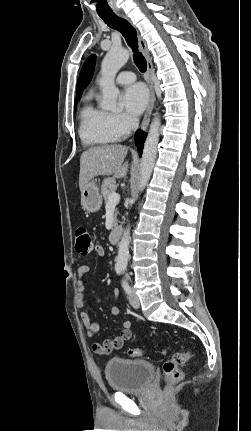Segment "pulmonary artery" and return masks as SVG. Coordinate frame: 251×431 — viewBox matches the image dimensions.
Returning <instances> with one entry per match:
<instances>
[{
    "mask_svg": "<svg viewBox=\"0 0 251 431\" xmlns=\"http://www.w3.org/2000/svg\"><path fill=\"white\" fill-rule=\"evenodd\" d=\"M135 79H136V76L133 72L123 71L117 75L116 82L118 84H129V83L134 82Z\"/></svg>",
    "mask_w": 251,
    "mask_h": 431,
    "instance_id": "obj_1",
    "label": "pulmonary artery"
}]
</instances>
